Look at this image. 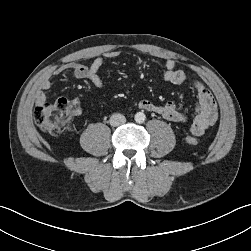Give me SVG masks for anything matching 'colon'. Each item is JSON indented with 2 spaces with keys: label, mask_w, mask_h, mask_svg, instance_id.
<instances>
[{
  "label": "colon",
  "mask_w": 251,
  "mask_h": 251,
  "mask_svg": "<svg viewBox=\"0 0 251 251\" xmlns=\"http://www.w3.org/2000/svg\"><path fill=\"white\" fill-rule=\"evenodd\" d=\"M78 112L76 104L61 98L52 103L38 104L34 111V121L42 131L58 136L74 127ZM188 141L192 145L197 144L193 137H189Z\"/></svg>",
  "instance_id": "5ec220e1"
}]
</instances>
